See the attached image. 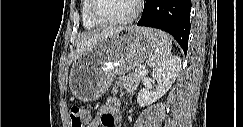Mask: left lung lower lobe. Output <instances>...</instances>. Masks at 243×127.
<instances>
[{"label":"left lung lower lobe","mask_w":243,"mask_h":127,"mask_svg":"<svg viewBox=\"0 0 243 127\" xmlns=\"http://www.w3.org/2000/svg\"><path fill=\"white\" fill-rule=\"evenodd\" d=\"M191 0H146L138 26L170 33L187 53L190 33Z\"/></svg>","instance_id":"left-lung-lower-lobe-1"}]
</instances>
